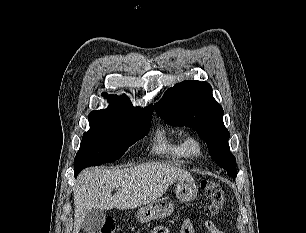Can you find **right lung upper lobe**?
<instances>
[{
    "mask_svg": "<svg viewBox=\"0 0 306 233\" xmlns=\"http://www.w3.org/2000/svg\"><path fill=\"white\" fill-rule=\"evenodd\" d=\"M102 95L104 96V98H109L108 108L93 112H106V113H115V114L130 115V116H144L153 113L152 105H149L145 109L140 107H134L132 106L129 98L126 95L117 96V95H108L107 93H103Z\"/></svg>",
    "mask_w": 306,
    "mask_h": 233,
    "instance_id": "1",
    "label": "right lung upper lobe"
}]
</instances>
